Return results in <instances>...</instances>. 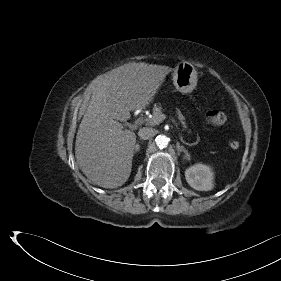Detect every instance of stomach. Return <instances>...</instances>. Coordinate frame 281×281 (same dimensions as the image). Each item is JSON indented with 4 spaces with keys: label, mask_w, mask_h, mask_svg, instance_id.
I'll use <instances>...</instances> for the list:
<instances>
[{
    "label": "stomach",
    "mask_w": 281,
    "mask_h": 281,
    "mask_svg": "<svg viewBox=\"0 0 281 281\" xmlns=\"http://www.w3.org/2000/svg\"><path fill=\"white\" fill-rule=\"evenodd\" d=\"M172 81L181 93H191L197 85V72L193 65L183 62L180 63L172 70Z\"/></svg>",
    "instance_id": "stomach-1"
}]
</instances>
